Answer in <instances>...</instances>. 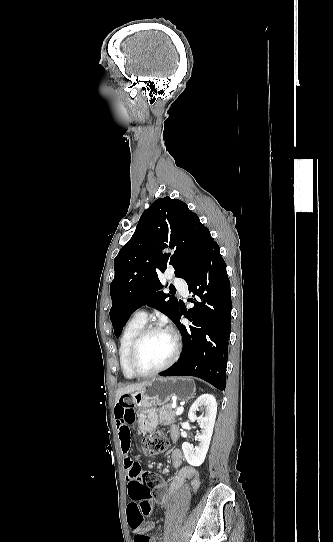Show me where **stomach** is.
<instances>
[{
  "label": "stomach",
  "mask_w": 333,
  "mask_h": 542,
  "mask_svg": "<svg viewBox=\"0 0 333 542\" xmlns=\"http://www.w3.org/2000/svg\"><path fill=\"white\" fill-rule=\"evenodd\" d=\"M195 384L191 378H152L143 390L121 396L119 400H132L136 410L139 437L158 426L157 404H167L173 396L180 402H187L195 396Z\"/></svg>",
  "instance_id": "stomach-1"
}]
</instances>
